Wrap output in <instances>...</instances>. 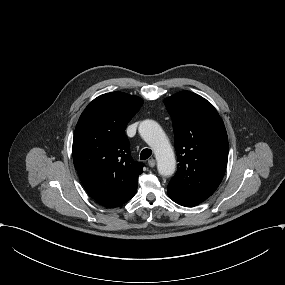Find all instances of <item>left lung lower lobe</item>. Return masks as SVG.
<instances>
[{"instance_id": "left-lung-lower-lobe-1", "label": "left lung lower lobe", "mask_w": 285, "mask_h": 285, "mask_svg": "<svg viewBox=\"0 0 285 285\" xmlns=\"http://www.w3.org/2000/svg\"><path fill=\"white\" fill-rule=\"evenodd\" d=\"M167 192L171 200L185 207H194L198 205L199 203H201L196 200H192L190 198L184 197L180 195L178 192H176L175 190L170 189V188L167 189Z\"/></svg>"}]
</instances>
